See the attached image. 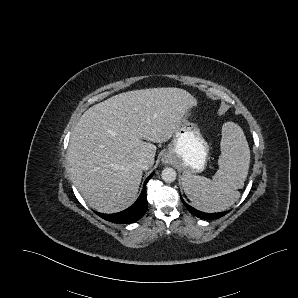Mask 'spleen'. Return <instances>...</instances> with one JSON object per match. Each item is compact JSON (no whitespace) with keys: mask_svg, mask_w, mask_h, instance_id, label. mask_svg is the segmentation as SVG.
<instances>
[{"mask_svg":"<svg viewBox=\"0 0 298 298\" xmlns=\"http://www.w3.org/2000/svg\"><path fill=\"white\" fill-rule=\"evenodd\" d=\"M219 169L212 179L184 173V192L199 210L214 213L226 210L240 198L250 165V148L242 128L234 122L222 126Z\"/></svg>","mask_w":298,"mask_h":298,"instance_id":"1","label":"spleen"}]
</instances>
